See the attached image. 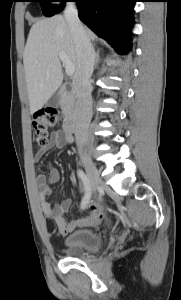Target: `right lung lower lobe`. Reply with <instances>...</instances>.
<instances>
[{"instance_id": "obj_1", "label": "right lung lower lobe", "mask_w": 181, "mask_h": 300, "mask_svg": "<svg viewBox=\"0 0 181 300\" xmlns=\"http://www.w3.org/2000/svg\"><path fill=\"white\" fill-rule=\"evenodd\" d=\"M72 1L77 3L82 22L107 40L120 54L128 52L131 46L132 11L136 0ZM63 9L64 7L59 12Z\"/></svg>"}]
</instances>
